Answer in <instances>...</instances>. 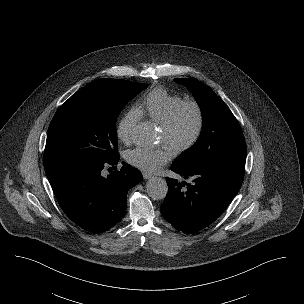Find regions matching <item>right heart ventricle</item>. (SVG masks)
<instances>
[{"instance_id":"e07e8e85","label":"right heart ventricle","mask_w":304,"mask_h":304,"mask_svg":"<svg viewBox=\"0 0 304 304\" xmlns=\"http://www.w3.org/2000/svg\"><path fill=\"white\" fill-rule=\"evenodd\" d=\"M181 101H183L182 97L172 94L164 88H155L142 95L134 109L140 116L160 125Z\"/></svg>"}]
</instances>
